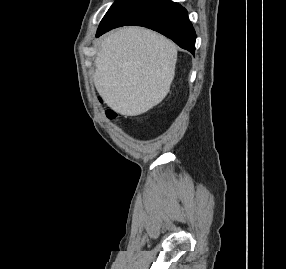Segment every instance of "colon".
Instances as JSON below:
<instances>
[{
  "instance_id": "colon-1",
  "label": "colon",
  "mask_w": 286,
  "mask_h": 269,
  "mask_svg": "<svg viewBox=\"0 0 286 269\" xmlns=\"http://www.w3.org/2000/svg\"><path fill=\"white\" fill-rule=\"evenodd\" d=\"M109 115H110V116H113V112H109Z\"/></svg>"
}]
</instances>
